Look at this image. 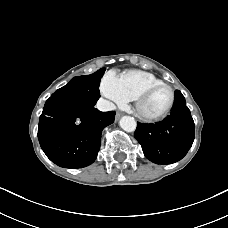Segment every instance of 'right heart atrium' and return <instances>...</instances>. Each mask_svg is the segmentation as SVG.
<instances>
[{
	"instance_id": "d8ad5b80",
	"label": "right heart atrium",
	"mask_w": 228,
	"mask_h": 228,
	"mask_svg": "<svg viewBox=\"0 0 228 228\" xmlns=\"http://www.w3.org/2000/svg\"><path fill=\"white\" fill-rule=\"evenodd\" d=\"M100 89L102 94L114 105H123L128 101L119 88L117 77L112 73H107L102 78Z\"/></svg>"
}]
</instances>
